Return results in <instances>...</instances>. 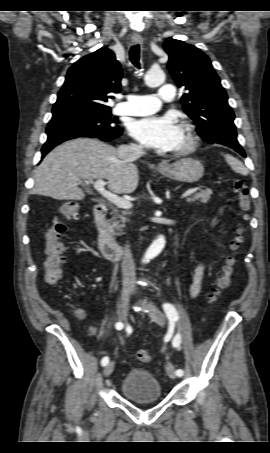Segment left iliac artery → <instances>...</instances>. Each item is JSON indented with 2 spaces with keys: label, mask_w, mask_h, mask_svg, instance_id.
<instances>
[{
  "label": "left iliac artery",
  "mask_w": 270,
  "mask_h": 453,
  "mask_svg": "<svg viewBox=\"0 0 270 453\" xmlns=\"http://www.w3.org/2000/svg\"><path fill=\"white\" fill-rule=\"evenodd\" d=\"M163 308H164V311L169 319V321L171 323H174L175 321H177L179 319V315H178V312L176 311L175 307L169 303H164L163 304ZM181 343V336L180 334H177L173 341H172V344L174 347H178ZM176 375L177 376H182L183 375V370L182 369H178L176 371Z\"/></svg>",
  "instance_id": "1"
}]
</instances>
